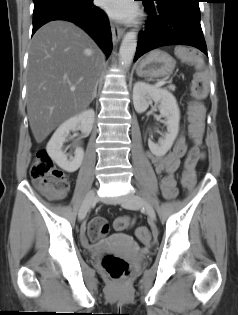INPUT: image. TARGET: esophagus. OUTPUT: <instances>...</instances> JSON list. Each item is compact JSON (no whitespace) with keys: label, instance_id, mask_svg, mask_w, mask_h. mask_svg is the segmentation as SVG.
I'll list each match as a JSON object with an SVG mask.
<instances>
[{"label":"esophagus","instance_id":"34e87169","mask_svg":"<svg viewBox=\"0 0 238 315\" xmlns=\"http://www.w3.org/2000/svg\"><path fill=\"white\" fill-rule=\"evenodd\" d=\"M123 34H124L123 28L119 27L116 24H112V37L114 44H116L121 39Z\"/></svg>","mask_w":238,"mask_h":315}]
</instances>
